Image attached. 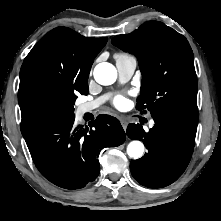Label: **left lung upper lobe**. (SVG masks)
Returning a JSON list of instances; mask_svg holds the SVG:
<instances>
[{
    "label": "left lung upper lobe",
    "instance_id": "1",
    "mask_svg": "<svg viewBox=\"0 0 221 221\" xmlns=\"http://www.w3.org/2000/svg\"><path fill=\"white\" fill-rule=\"evenodd\" d=\"M112 44L134 54L142 73L137 109L198 122L197 76L187 39L174 29L149 21Z\"/></svg>",
    "mask_w": 221,
    "mask_h": 221
}]
</instances>
